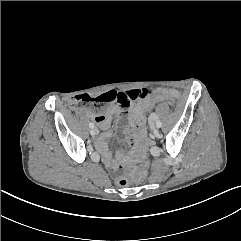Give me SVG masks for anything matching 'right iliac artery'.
Segmentation results:
<instances>
[{
  "label": "right iliac artery",
  "instance_id": "82829eb1",
  "mask_svg": "<svg viewBox=\"0 0 241 241\" xmlns=\"http://www.w3.org/2000/svg\"><path fill=\"white\" fill-rule=\"evenodd\" d=\"M89 127L90 128H94V124L93 123H89Z\"/></svg>",
  "mask_w": 241,
  "mask_h": 241
}]
</instances>
